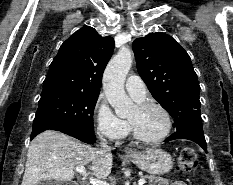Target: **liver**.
Masks as SVG:
<instances>
[{
    "instance_id": "obj_1",
    "label": "liver",
    "mask_w": 233,
    "mask_h": 185,
    "mask_svg": "<svg viewBox=\"0 0 233 185\" xmlns=\"http://www.w3.org/2000/svg\"><path fill=\"white\" fill-rule=\"evenodd\" d=\"M113 156L110 151L84 145L58 131L47 130L37 135L28 148L21 185H37L41 180L71 181L77 166L91 163L98 179L109 176Z\"/></svg>"
}]
</instances>
